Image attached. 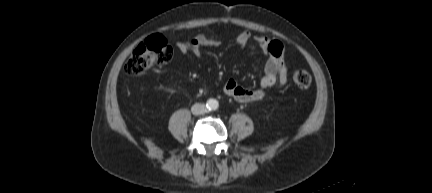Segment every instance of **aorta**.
I'll list each match as a JSON object with an SVG mask.
<instances>
[{
	"label": "aorta",
	"mask_w": 432,
	"mask_h": 193,
	"mask_svg": "<svg viewBox=\"0 0 432 193\" xmlns=\"http://www.w3.org/2000/svg\"><path fill=\"white\" fill-rule=\"evenodd\" d=\"M208 106L210 109H216L218 107V102L215 99H210L208 101Z\"/></svg>",
	"instance_id": "aorta-1"
}]
</instances>
